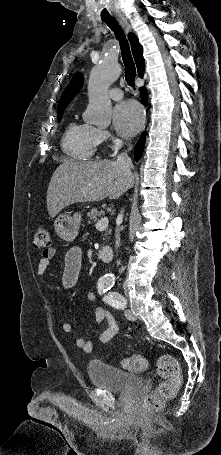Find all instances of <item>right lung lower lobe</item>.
Returning <instances> with one entry per match:
<instances>
[{"label":"right lung lower lobe","mask_w":221,"mask_h":455,"mask_svg":"<svg viewBox=\"0 0 221 455\" xmlns=\"http://www.w3.org/2000/svg\"><path fill=\"white\" fill-rule=\"evenodd\" d=\"M142 92H143V102L145 103L146 102V90L145 88H142L141 89ZM145 137H146V133H143L142 136L140 137L138 143L136 144L134 150H135V159L138 161L141 156H142V153H143V150H144V145H145Z\"/></svg>","instance_id":"98d812e1"}]
</instances>
